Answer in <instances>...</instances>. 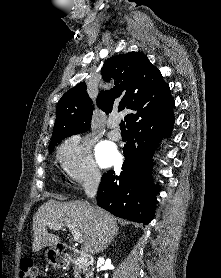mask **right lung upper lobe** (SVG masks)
<instances>
[{
  "mask_svg": "<svg viewBox=\"0 0 221 278\" xmlns=\"http://www.w3.org/2000/svg\"><path fill=\"white\" fill-rule=\"evenodd\" d=\"M102 75L106 82L114 78L115 86L99 93L97 105L106 114L113 109L129 110L124 117L127 128L174 106L169 85L163 81L158 68L141 53L129 52L109 58L102 67ZM92 113L86 84L81 82L67 91L57 104L50 146L67 136L87 131Z\"/></svg>",
  "mask_w": 221,
  "mask_h": 278,
  "instance_id": "cb5924a9",
  "label": "right lung upper lobe"
}]
</instances>
